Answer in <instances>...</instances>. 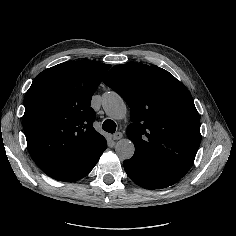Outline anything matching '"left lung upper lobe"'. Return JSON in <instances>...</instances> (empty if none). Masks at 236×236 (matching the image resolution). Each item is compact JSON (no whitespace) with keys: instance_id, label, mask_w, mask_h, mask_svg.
Segmentation results:
<instances>
[{"instance_id":"left-lung-upper-lobe-1","label":"left lung upper lobe","mask_w":236,"mask_h":236,"mask_svg":"<svg viewBox=\"0 0 236 236\" xmlns=\"http://www.w3.org/2000/svg\"><path fill=\"white\" fill-rule=\"evenodd\" d=\"M103 82L128 104L127 136L135 154L183 177L201 141L200 118L188 89L156 65L114 66Z\"/></svg>"}]
</instances>
